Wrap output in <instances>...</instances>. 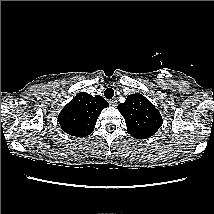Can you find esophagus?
Masks as SVG:
<instances>
[{
	"label": "esophagus",
	"mask_w": 214,
	"mask_h": 214,
	"mask_svg": "<svg viewBox=\"0 0 214 214\" xmlns=\"http://www.w3.org/2000/svg\"><path fill=\"white\" fill-rule=\"evenodd\" d=\"M110 105L116 106L117 105V100L116 99H111L109 100Z\"/></svg>",
	"instance_id": "1"
}]
</instances>
